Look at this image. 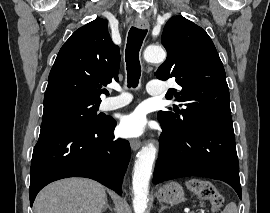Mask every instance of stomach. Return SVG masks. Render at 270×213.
Returning <instances> with one entry per match:
<instances>
[{
	"instance_id": "0dacf381",
	"label": "stomach",
	"mask_w": 270,
	"mask_h": 213,
	"mask_svg": "<svg viewBox=\"0 0 270 213\" xmlns=\"http://www.w3.org/2000/svg\"><path fill=\"white\" fill-rule=\"evenodd\" d=\"M156 196L159 201L174 205L184 200V191L177 182H168L158 188Z\"/></svg>"
}]
</instances>
